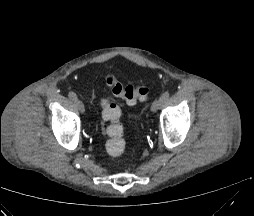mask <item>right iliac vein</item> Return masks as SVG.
Segmentation results:
<instances>
[{
  "label": "right iliac vein",
  "mask_w": 254,
  "mask_h": 216,
  "mask_svg": "<svg viewBox=\"0 0 254 216\" xmlns=\"http://www.w3.org/2000/svg\"><path fill=\"white\" fill-rule=\"evenodd\" d=\"M74 104L80 113H84L85 108H84V104L81 100H79V99L74 100Z\"/></svg>",
  "instance_id": "obj_1"
}]
</instances>
